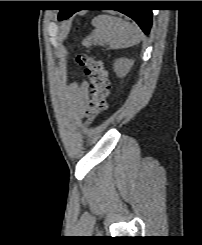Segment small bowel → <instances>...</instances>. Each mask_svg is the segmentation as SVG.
I'll use <instances>...</instances> for the list:
<instances>
[{"label": "small bowel", "instance_id": "obj_1", "mask_svg": "<svg viewBox=\"0 0 202 245\" xmlns=\"http://www.w3.org/2000/svg\"><path fill=\"white\" fill-rule=\"evenodd\" d=\"M86 91V83H82L81 85H77L75 83L69 86V92L74 95V98L77 101H82L85 96Z\"/></svg>", "mask_w": 202, "mask_h": 245}]
</instances>
